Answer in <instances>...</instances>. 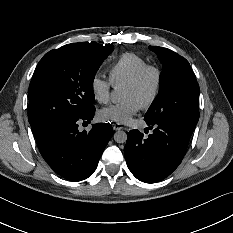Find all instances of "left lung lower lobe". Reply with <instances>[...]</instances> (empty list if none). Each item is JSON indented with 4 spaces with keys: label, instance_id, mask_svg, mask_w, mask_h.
I'll use <instances>...</instances> for the list:
<instances>
[{
    "label": "left lung lower lobe",
    "instance_id": "0a47b994",
    "mask_svg": "<svg viewBox=\"0 0 233 233\" xmlns=\"http://www.w3.org/2000/svg\"><path fill=\"white\" fill-rule=\"evenodd\" d=\"M144 138L137 129L128 132L124 156L131 173L140 181L155 183L170 175L181 163L194 125L160 123Z\"/></svg>",
    "mask_w": 233,
    "mask_h": 233
}]
</instances>
